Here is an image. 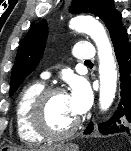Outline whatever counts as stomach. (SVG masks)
<instances>
[{"instance_id": "1", "label": "stomach", "mask_w": 131, "mask_h": 151, "mask_svg": "<svg viewBox=\"0 0 131 151\" xmlns=\"http://www.w3.org/2000/svg\"><path fill=\"white\" fill-rule=\"evenodd\" d=\"M78 148V145L70 143L55 147V149L51 151H78Z\"/></svg>"}]
</instances>
